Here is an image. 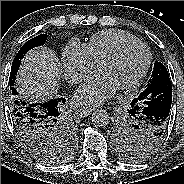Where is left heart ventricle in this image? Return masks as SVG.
Masks as SVG:
<instances>
[{
	"mask_svg": "<svg viewBox=\"0 0 184 184\" xmlns=\"http://www.w3.org/2000/svg\"><path fill=\"white\" fill-rule=\"evenodd\" d=\"M146 57V51L142 47H129L115 61L103 66L100 73L105 74L119 89L139 75Z\"/></svg>",
	"mask_w": 184,
	"mask_h": 184,
	"instance_id": "left-heart-ventricle-1",
	"label": "left heart ventricle"
}]
</instances>
